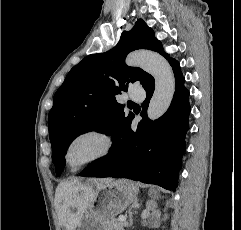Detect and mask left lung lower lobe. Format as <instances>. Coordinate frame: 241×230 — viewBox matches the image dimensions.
I'll list each match as a JSON object with an SVG mask.
<instances>
[{
    "label": "left lung lower lobe",
    "mask_w": 241,
    "mask_h": 230,
    "mask_svg": "<svg viewBox=\"0 0 241 230\" xmlns=\"http://www.w3.org/2000/svg\"><path fill=\"white\" fill-rule=\"evenodd\" d=\"M169 63L176 82L173 100L167 112L157 120L147 119V108L155 87L152 78L144 87L147 97L142 104V120L137 130L131 129L133 118L124 123L113 139L109 153L93 161L80 176L128 178L157 184L168 190L177 187L191 108L180 65L173 58Z\"/></svg>",
    "instance_id": "0a47b994"
}]
</instances>
